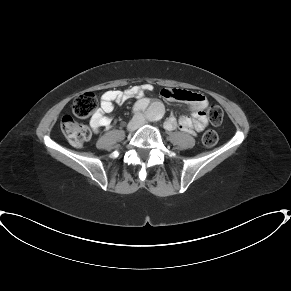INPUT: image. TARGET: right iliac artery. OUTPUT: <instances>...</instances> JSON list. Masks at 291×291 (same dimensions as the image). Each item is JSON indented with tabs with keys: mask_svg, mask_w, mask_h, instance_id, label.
I'll use <instances>...</instances> for the list:
<instances>
[{
	"mask_svg": "<svg viewBox=\"0 0 291 291\" xmlns=\"http://www.w3.org/2000/svg\"><path fill=\"white\" fill-rule=\"evenodd\" d=\"M133 111L136 112V111H138V110L134 108Z\"/></svg>",
	"mask_w": 291,
	"mask_h": 291,
	"instance_id": "right-iliac-artery-1",
	"label": "right iliac artery"
}]
</instances>
